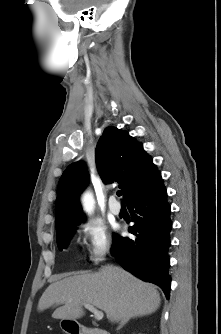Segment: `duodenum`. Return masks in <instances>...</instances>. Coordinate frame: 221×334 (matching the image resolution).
Returning <instances> with one entry per match:
<instances>
[{
  "instance_id": "1",
  "label": "duodenum",
  "mask_w": 221,
  "mask_h": 334,
  "mask_svg": "<svg viewBox=\"0 0 221 334\" xmlns=\"http://www.w3.org/2000/svg\"><path fill=\"white\" fill-rule=\"evenodd\" d=\"M68 332L70 334H110L104 329L95 327H72Z\"/></svg>"
}]
</instances>
